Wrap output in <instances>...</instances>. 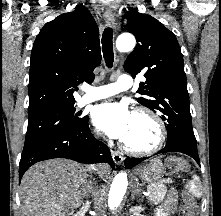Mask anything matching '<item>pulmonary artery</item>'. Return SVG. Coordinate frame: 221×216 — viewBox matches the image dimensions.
I'll return each mask as SVG.
<instances>
[{
  "label": "pulmonary artery",
  "mask_w": 221,
  "mask_h": 216,
  "mask_svg": "<svg viewBox=\"0 0 221 216\" xmlns=\"http://www.w3.org/2000/svg\"><path fill=\"white\" fill-rule=\"evenodd\" d=\"M132 85L133 81L131 77L127 74H121L113 83L98 87H85V93L79 100L78 105L83 106L87 103L110 97L121 91L128 90Z\"/></svg>",
  "instance_id": "1"
}]
</instances>
